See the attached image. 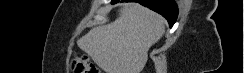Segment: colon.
Wrapping results in <instances>:
<instances>
[{"label": "colon", "mask_w": 244, "mask_h": 73, "mask_svg": "<svg viewBox=\"0 0 244 73\" xmlns=\"http://www.w3.org/2000/svg\"><path fill=\"white\" fill-rule=\"evenodd\" d=\"M73 73H100L99 68L87 56L75 57L71 62Z\"/></svg>", "instance_id": "colon-1"}]
</instances>
